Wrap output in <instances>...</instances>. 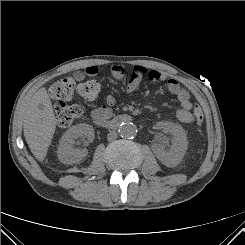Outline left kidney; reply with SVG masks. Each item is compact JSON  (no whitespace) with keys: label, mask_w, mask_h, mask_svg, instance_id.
Returning a JSON list of instances; mask_svg holds the SVG:
<instances>
[{"label":"left kidney","mask_w":245,"mask_h":245,"mask_svg":"<svg viewBox=\"0 0 245 245\" xmlns=\"http://www.w3.org/2000/svg\"><path fill=\"white\" fill-rule=\"evenodd\" d=\"M161 128L165 133H170L173 142L169 150L157 147L155 150L156 157L165 165L171 166L178 164L187 150V137L185 130L178 124L164 122Z\"/></svg>","instance_id":"5707ae66"}]
</instances>
